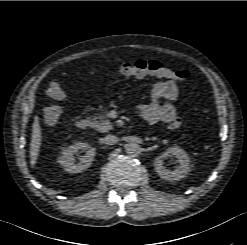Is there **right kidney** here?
<instances>
[{
  "label": "right kidney",
  "instance_id": "obj_1",
  "mask_svg": "<svg viewBox=\"0 0 247 245\" xmlns=\"http://www.w3.org/2000/svg\"><path fill=\"white\" fill-rule=\"evenodd\" d=\"M79 151H84L85 154L80 156L79 163H75L74 155ZM94 156L95 148L86 142H76L61 153V156L58 158V162L65 171L69 173H76L89 168L94 160Z\"/></svg>",
  "mask_w": 247,
  "mask_h": 245
}]
</instances>
